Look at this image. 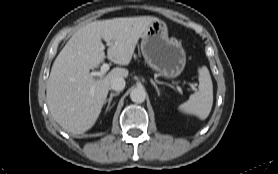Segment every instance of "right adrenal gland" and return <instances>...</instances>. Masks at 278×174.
Listing matches in <instances>:
<instances>
[{
    "label": "right adrenal gland",
    "instance_id": "2a0ac1e0",
    "mask_svg": "<svg viewBox=\"0 0 278 174\" xmlns=\"http://www.w3.org/2000/svg\"><path fill=\"white\" fill-rule=\"evenodd\" d=\"M119 94H120V92H116V93H112V92H111V93H110L109 98H108V99L105 101V103H104V104L108 103L105 112H107V111L110 110V104H111V101H112L113 97H114V96H118Z\"/></svg>",
    "mask_w": 278,
    "mask_h": 174
}]
</instances>
